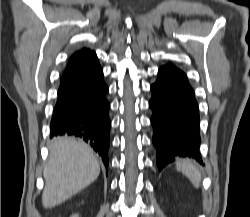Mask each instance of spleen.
<instances>
[{"mask_svg":"<svg viewBox=\"0 0 250 217\" xmlns=\"http://www.w3.org/2000/svg\"><path fill=\"white\" fill-rule=\"evenodd\" d=\"M177 170L181 171L193 183L195 187L200 186L201 175L196 166L188 159L179 160L176 162Z\"/></svg>","mask_w":250,"mask_h":217,"instance_id":"obj_1","label":"spleen"}]
</instances>
